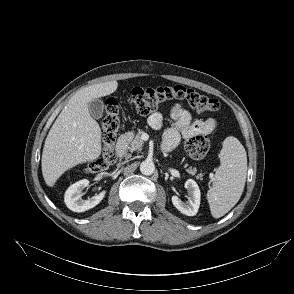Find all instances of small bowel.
<instances>
[{
    "instance_id": "c3829d8e",
    "label": "small bowel",
    "mask_w": 294,
    "mask_h": 294,
    "mask_svg": "<svg viewBox=\"0 0 294 294\" xmlns=\"http://www.w3.org/2000/svg\"><path fill=\"white\" fill-rule=\"evenodd\" d=\"M170 116L173 120V126L164 132L163 149L165 151L176 148L181 138L189 139L197 135H207L218 126L217 121L213 118L193 120L190 112L179 103L172 106ZM148 124L153 129H160L163 125L162 114L160 112L151 114L148 118Z\"/></svg>"
}]
</instances>
